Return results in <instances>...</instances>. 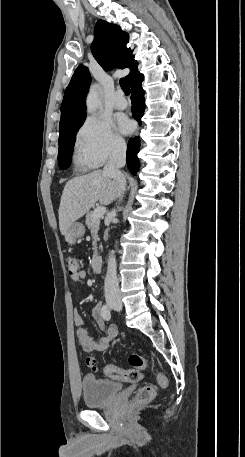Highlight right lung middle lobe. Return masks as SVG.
<instances>
[{"mask_svg":"<svg viewBox=\"0 0 245 457\" xmlns=\"http://www.w3.org/2000/svg\"><path fill=\"white\" fill-rule=\"evenodd\" d=\"M84 120L85 119L60 127V135L58 140L60 146L58 164L60 169H64L70 166V157L73 152L75 135L79 130V127L83 124Z\"/></svg>","mask_w":245,"mask_h":457,"instance_id":"dd1d6c3e","label":"right lung middle lobe"}]
</instances>
